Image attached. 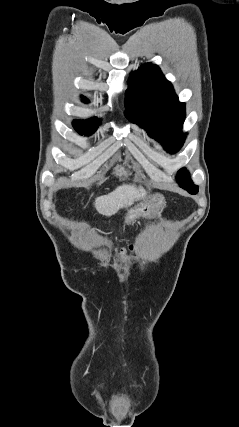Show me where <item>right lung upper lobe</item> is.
I'll return each instance as SVG.
<instances>
[{"instance_id": "right-lung-upper-lobe-1", "label": "right lung upper lobe", "mask_w": 239, "mask_h": 427, "mask_svg": "<svg viewBox=\"0 0 239 427\" xmlns=\"http://www.w3.org/2000/svg\"><path fill=\"white\" fill-rule=\"evenodd\" d=\"M84 101H87L86 98H83Z\"/></svg>"}]
</instances>
